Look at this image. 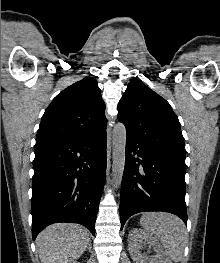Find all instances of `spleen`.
I'll list each match as a JSON object with an SVG mask.
<instances>
[{"mask_svg": "<svg viewBox=\"0 0 220 263\" xmlns=\"http://www.w3.org/2000/svg\"><path fill=\"white\" fill-rule=\"evenodd\" d=\"M141 226L161 240L166 255L179 262L187 241V232L183 221L164 212H147L140 219Z\"/></svg>", "mask_w": 220, "mask_h": 263, "instance_id": "spleen-1", "label": "spleen"}]
</instances>
